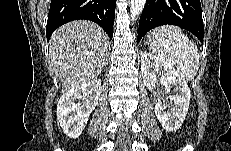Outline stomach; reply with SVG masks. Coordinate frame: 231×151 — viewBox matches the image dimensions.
Segmentation results:
<instances>
[{"mask_svg": "<svg viewBox=\"0 0 231 151\" xmlns=\"http://www.w3.org/2000/svg\"><path fill=\"white\" fill-rule=\"evenodd\" d=\"M153 41V37H152V35L151 34H149L148 36H147V44H150L151 45V42Z\"/></svg>", "mask_w": 231, "mask_h": 151, "instance_id": "0dacf381", "label": "stomach"}]
</instances>
